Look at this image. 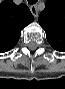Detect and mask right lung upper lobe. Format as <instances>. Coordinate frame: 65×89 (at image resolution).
<instances>
[{
    "label": "right lung upper lobe",
    "instance_id": "cb5924a9",
    "mask_svg": "<svg viewBox=\"0 0 65 89\" xmlns=\"http://www.w3.org/2000/svg\"><path fill=\"white\" fill-rule=\"evenodd\" d=\"M33 20L26 5L4 0L0 4V53L12 49L20 38L21 30Z\"/></svg>",
    "mask_w": 65,
    "mask_h": 89
}]
</instances>
